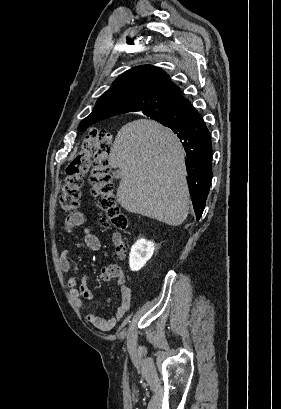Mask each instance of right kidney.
Returning a JSON list of instances; mask_svg holds the SVG:
<instances>
[{"label": "right kidney", "instance_id": "ca27d5eb", "mask_svg": "<svg viewBox=\"0 0 281 409\" xmlns=\"http://www.w3.org/2000/svg\"><path fill=\"white\" fill-rule=\"evenodd\" d=\"M154 251L155 247L152 241L138 239L130 251L129 265L131 271H139V269H142L145 263L151 259Z\"/></svg>", "mask_w": 281, "mask_h": 409}]
</instances>
